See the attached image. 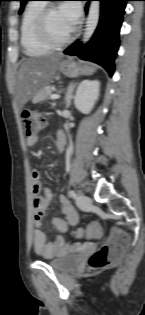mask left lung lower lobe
I'll use <instances>...</instances> for the list:
<instances>
[{
    "instance_id": "0a47b994",
    "label": "left lung lower lobe",
    "mask_w": 145,
    "mask_h": 315,
    "mask_svg": "<svg viewBox=\"0 0 145 315\" xmlns=\"http://www.w3.org/2000/svg\"><path fill=\"white\" fill-rule=\"evenodd\" d=\"M100 1V20L91 40L83 45L75 42L65 50V54L76 55L83 60L103 66L113 75L114 60L119 47V32L126 1L129 0H87ZM88 11V5L85 7Z\"/></svg>"
}]
</instances>
